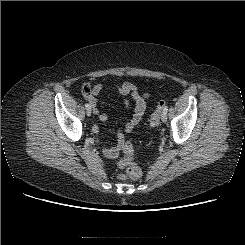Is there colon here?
Returning a JSON list of instances; mask_svg holds the SVG:
<instances>
[{
  "label": "colon",
  "instance_id": "colon-1",
  "mask_svg": "<svg viewBox=\"0 0 245 245\" xmlns=\"http://www.w3.org/2000/svg\"><path fill=\"white\" fill-rule=\"evenodd\" d=\"M81 91L85 96H88L91 92V88L88 84H83L81 87ZM166 101H160L156 107V109L153 111V113L150 115L148 119L149 126H156L159 123V117L166 106ZM122 148V158L119 161V166L125 170V174L122 175L124 178L136 180L139 179L142 175V171L140 167L136 164L134 160V147L130 142H122L121 145Z\"/></svg>",
  "mask_w": 245,
  "mask_h": 245
}]
</instances>
